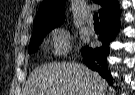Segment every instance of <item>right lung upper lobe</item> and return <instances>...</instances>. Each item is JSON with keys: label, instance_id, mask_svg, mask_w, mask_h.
Listing matches in <instances>:
<instances>
[{"label": "right lung upper lobe", "instance_id": "right-lung-upper-lobe-1", "mask_svg": "<svg viewBox=\"0 0 135 95\" xmlns=\"http://www.w3.org/2000/svg\"><path fill=\"white\" fill-rule=\"evenodd\" d=\"M100 4L102 9L99 10L101 22L107 19H113L120 16V7L118 0H94ZM65 0H44L38 10L34 32L52 30L59 25L64 17Z\"/></svg>", "mask_w": 135, "mask_h": 95}]
</instances>
